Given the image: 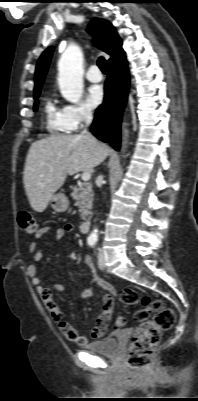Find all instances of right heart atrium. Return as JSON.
Returning a JSON list of instances; mask_svg holds the SVG:
<instances>
[{
	"label": "right heart atrium",
	"instance_id": "right-heart-atrium-1",
	"mask_svg": "<svg viewBox=\"0 0 198 401\" xmlns=\"http://www.w3.org/2000/svg\"><path fill=\"white\" fill-rule=\"evenodd\" d=\"M64 119L71 129L77 130L94 118V110L85 103L66 104L62 108Z\"/></svg>",
	"mask_w": 198,
	"mask_h": 401
}]
</instances>
